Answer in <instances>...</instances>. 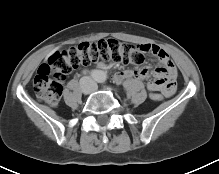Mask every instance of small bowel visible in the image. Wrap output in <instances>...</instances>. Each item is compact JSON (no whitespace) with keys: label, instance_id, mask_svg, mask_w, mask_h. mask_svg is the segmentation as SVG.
Returning a JSON list of instances; mask_svg holds the SVG:
<instances>
[{"label":"small bowel","instance_id":"c3829d8e","mask_svg":"<svg viewBox=\"0 0 219 174\" xmlns=\"http://www.w3.org/2000/svg\"><path fill=\"white\" fill-rule=\"evenodd\" d=\"M139 47L147 52H151L158 56L161 67L154 70L153 75L155 81L148 83V90L150 92H157L160 90L165 97H170L176 90V76L177 70L168 53L158 45L141 44ZM148 76V70L141 68L137 70H122L115 74L114 81L120 82L123 79L135 77L139 80H144Z\"/></svg>","mask_w":219,"mask_h":174}]
</instances>
